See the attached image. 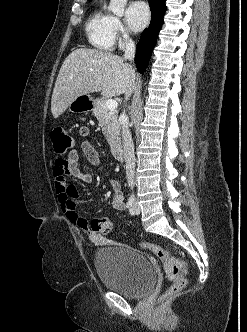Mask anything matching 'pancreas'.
I'll list each match as a JSON object with an SVG mask.
<instances>
[{"label": "pancreas", "mask_w": 247, "mask_h": 332, "mask_svg": "<svg viewBox=\"0 0 247 332\" xmlns=\"http://www.w3.org/2000/svg\"><path fill=\"white\" fill-rule=\"evenodd\" d=\"M105 99H97L94 102L93 113L102 127V132L111 147L120 144V125L117 119L118 112L108 109Z\"/></svg>", "instance_id": "pancreas-1"}]
</instances>
